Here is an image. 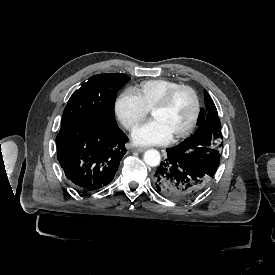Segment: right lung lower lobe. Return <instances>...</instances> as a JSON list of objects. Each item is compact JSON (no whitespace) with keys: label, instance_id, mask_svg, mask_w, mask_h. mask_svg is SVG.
Segmentation results:
<instances>
[{"label":"right lung lower lobe","instance_id":"obj_1","mask_svg":"<svg viewBox=\"0 0 275 275\" xmlns=\"http://www.w3.org/2000/svg\"><path fill=\"white\" fill-rule=\"evenodd\" d=\"M127 141L119 127L105 130L84 121H65L56 137L58 161L76 189L92 192L112 181Z\"/></svg>","mask_w":275,"mask_h":275}]
</instances>
